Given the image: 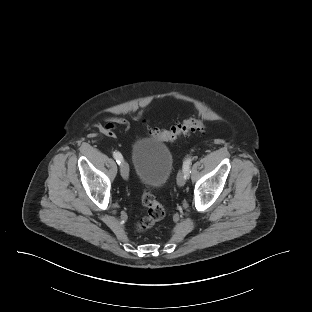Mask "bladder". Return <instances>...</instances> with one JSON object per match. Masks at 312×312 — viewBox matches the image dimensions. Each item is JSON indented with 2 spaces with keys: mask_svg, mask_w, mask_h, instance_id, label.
Returning a JSON list of instances; mask_svg holds the SVG:
<instances>
[{
  "mask_svg": "<svg viewBox=\"0 0 312 312\" xmlns=\"http://www.w3.org/2000/svg\"><path fill=\"white\" fill-rule=\"evenodd\" d=\"M131 157L135 175L142 185L159 189L168 181L173 170V157L162 141L138 139L132 146Z\"/></svg>",
  "mask_w": 312,
  "mask_h": 312,
  "instance_id": "1",
  "label": "bladder"
}]
</instances>
